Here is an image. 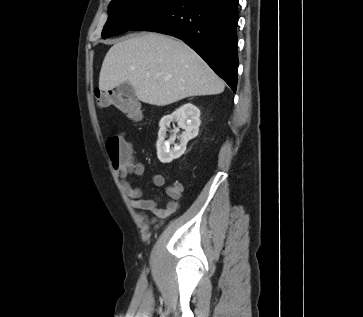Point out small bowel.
<instances>
[{
    "label": "small bowel",
    "mask_w": 363,
    "mask_h": 317,
    "mask_svg": "<svg viewBox=\"0 0 363 317\" xmlns=\"http://www.w3.org/2000/svg\"><path fill=\"white\" fill-rule=\"evenodd\" d=\"M115 170L120 179L121 186L128 196L130 205L140 211V215L144 220L152 224H157L171 215H174L179 210L180 198L184 190L181 182L175 181L167 187L166 193L169 196V201L165 208H161L157 198H143L142 189L134 187L129 178L130 174L141 176L145 173L146 168L143 163H134L131 161L124 165L117 166ZM152 183L157 187H161L165 184V177L162 174L155 173L152 175ZM146 212L152 213L153 217L149 218Z\"/></svg>",
    "instance_id": "c3829d8e"
}]
</instances>
